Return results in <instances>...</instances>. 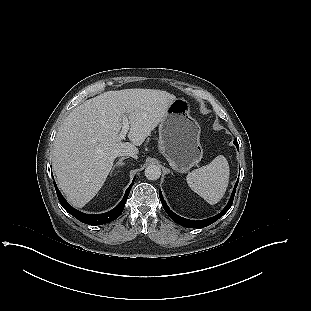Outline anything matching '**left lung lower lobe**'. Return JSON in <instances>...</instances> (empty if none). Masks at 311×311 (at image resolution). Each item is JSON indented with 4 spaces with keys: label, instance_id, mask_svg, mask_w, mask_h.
I'll return each instance as SVG.
<instances>
[{
    "label": "left lung lower lobe",
    "instance_id": "obj_1",
    "mask_svg": "<svg viewBox=\"0 0 311 311\" xmlns=\"http://www.w3.org/2000/svg\"><path fill=\"white\" fill-rule=\"evenodd\" d=\"M234 144L236 145L237 148L239 147L236 140L234 141ZM237 184H238V181L235 184L234 190L232 192V195H231V198H230L228 204L219 214H217L214 217L204 219V220H199V221L188 220V219H185V218L178 216L177 214H175L174 212H172L168 208V206H167V204H166V202L162 196L161 191H160L159 197H160V200H161V203H162L164 210L167 212V214L170 216V218L173 221H175L177 224H179L183 227H187V228H203V227H206V226L214 223L215 221H217L220 217H222L230 209V207L232 206V203H233Z\"/></svg>",
    "mask_w": 311,
    "mask_h": 311
}]
</instances>
